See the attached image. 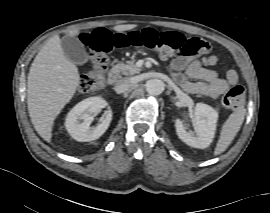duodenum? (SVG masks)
I'll use <instances>...</instances> for the list:
<instances>
[{
    "label": "duodenum",
    "instance_id": "410a0bca",
    "mask_svg": "<svg viewBox=\"0 0 270 213\" xmlns=\"http://www.w3.org/2000/svg\"><path fill=\"white\" fill-rule=\"evenodd\" d=\"M120 79V71L117 68H113L109 71L107 81L110 84L116 83Z\"/></svg>",
    "mask_w": 270,
    "mask_h": 213
}]
</instances>
